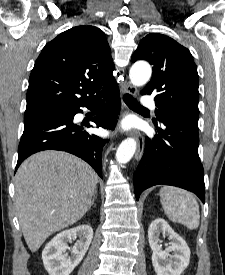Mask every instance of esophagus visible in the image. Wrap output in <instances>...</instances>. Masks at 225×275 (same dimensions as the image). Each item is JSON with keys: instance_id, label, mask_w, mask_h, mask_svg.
<instances>
[{"instance_id": "esophagus-1", "label": "esophagus", "mask_w": 225, "mask_h": 275, "mask_svg": "<svg viewBox=\"0 0 225 275\" xmlns=\"http://www.w3.org/2000/svg\"><path fill=\"white\" fill-rule=\"evenodd\" d=\"M122 90L124 92L131 94V95H135L137 92L136 88L133 85H131L130 83H125L122 87ZM132 134L134 135V137L136 138V141H137V150H136V154H135V159L138 161L141 159V157L143 155L144 137L138 131H133Z\"/></svg>"}]
</instances>
